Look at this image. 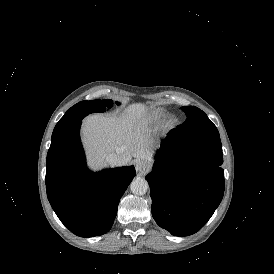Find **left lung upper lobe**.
Instances as JSON below:
<instances>
[{"label": "left lung upper lobe", "mask_w": 274, "mask_h": 274, "mask_svg": "<svg viewBox=\"0 0 274 274\" xmlns=\"http://www.w3.org/2000/svg\"><path fill=\"white\" fill-rule=\"evenodd\" d=\"M187 115V120L177 126V130L187 134H212L219 135L216 126L209 120L207 115L195 106L181 108Z\"/></svg>", "instance_id": "obj_1"}]
</instances>
